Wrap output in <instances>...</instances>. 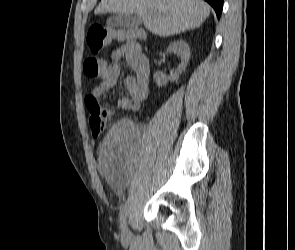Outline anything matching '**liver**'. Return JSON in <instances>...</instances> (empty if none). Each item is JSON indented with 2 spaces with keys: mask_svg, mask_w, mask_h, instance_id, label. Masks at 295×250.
<instances>
[{
  "mask_svg": "<svg viewBox=\"0 0 295 250\" xmlns=\"http://www.w3.org/2000/svg\"><path fill=\"white\" fill-rule=\"evenodd\" d=\"M135 13L151 33L168 37L199 27L210 7L202 0H101L95 14Z\"/></svg>",
  "mask_w": 295,
  "mask_h": 250,
  "instance_id": "1",
  "label": "liver"
}]
</instances>
